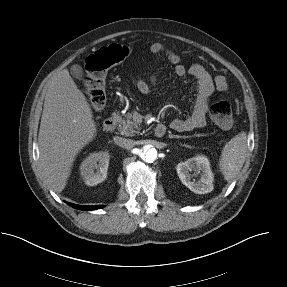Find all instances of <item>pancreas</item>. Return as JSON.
<instances>
[{
  "label": "pancreas",
  "instance_id": "pancreas-1",
  "mask_svg": "<svg viewBox=\"0 0 287 287\" xmlns=\"http://www.w3.org/2000/svg\"><path fill=\"white\" fill-rule=\"evenodd\" d=\"M122 116H118V131L125 136H134L139 133L140 127L139 125L132 120L133 114L126 113Z\"/></svg>",
  "mask_w": 287,
  "mask_h": 287
}]
</instances>
